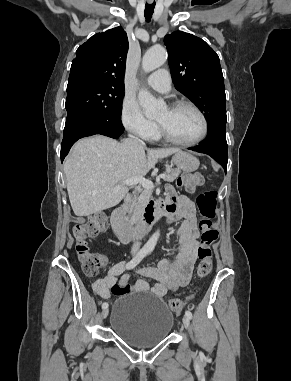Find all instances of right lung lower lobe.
I'll return each mask as SVG.
<instances>
[{"mask_svg": "<svg viewBox=\"0 0 291 381\" xmlns=\"http://www.w3.org/2000/svg\"><path fill=\"white\" fill-rule=\"evenodd\" d=\"M124 131L121 120L102 121L90 126L77 118L66 120L63 141L61 144V161L68 154L71 146L83 137L102 134L111 138H118Z\"/></svg>", "mask_w": 291, "mask_h": 381, "instance_id": "98d812e1", "label": "right lung lower lobe"}]
</instances>
